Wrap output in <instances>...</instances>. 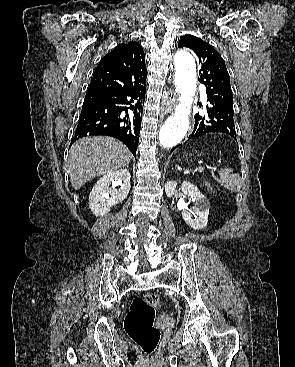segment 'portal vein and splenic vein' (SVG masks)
Returning <instances> with one entry per match:
<instances>
[{"label":"portal vein and splenic vein","mask_w":295,"mask_h":367,"mask_svg":"<svg viewBox=\"0 0 295 367\" xmlns=\"http://www.w3.org/2000/svg\"><path fill=\"white\" fill-rule=\"evenodd\" d=\"M190 172H199V173H203L204 172V168L203 167H198V168H195L193 170H185L184 171V174H189Z\"/></svg>","instance_id":"1"}]
</instances>
